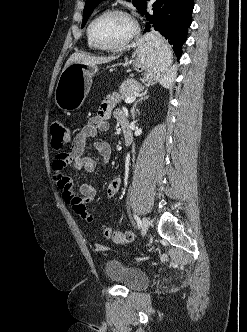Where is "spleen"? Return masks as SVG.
Instances as JSON below:
<instances>
[{"label": "spleen", "mask_w": 247, "mask_h": 332, "mask_svg": "<svg viewBox=\"0 0 247 332\" xmlns=\"http://www.w3.org/2000/svg\"><path fill=\"white\" fill-rule=\"evenodd\" d=\"M175 78V71L171 70L167 75H164L160 80V84L166 88L172 87Z\"/></svg>", "instance_id": "obj_1"}]
</instances>
